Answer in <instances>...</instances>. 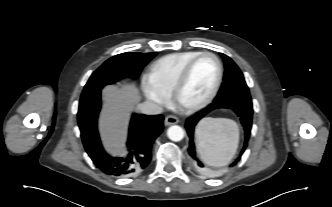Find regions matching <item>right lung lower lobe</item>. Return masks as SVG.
I'll list each match as a JSON object with an SVG mask.
<instances>
[{"label": "right lung lower lobe", "instance_id": "1", "mask_svg": "<svg viewBox=\"0 0 332 207\" xmlns=\"http://www.w3.org/2000/svg\"><path fill=\"white\" fill-rule=\"evenodd\" d=\"M101 108V92L81 98L78 125L86 152L102 172L111 176H129L147 167L151 161V148L163 130L162 115L134 114L129 128L128 155L113 158L102 147L97 130Z\"/></svg>", "mask_w": 332, "mask_h": 207}]
</instances>
